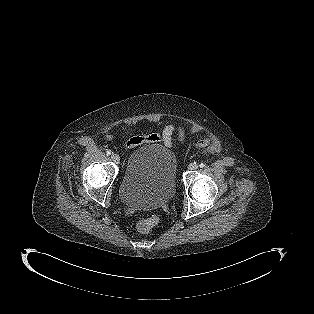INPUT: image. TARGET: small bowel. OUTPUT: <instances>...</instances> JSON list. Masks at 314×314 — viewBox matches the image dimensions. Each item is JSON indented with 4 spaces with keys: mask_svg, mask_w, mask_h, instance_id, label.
<instances>
[{
    "mask_svg": "<svg viewBox=\"0 0 314 314\" xmlns=\"http://www.w3.org/2000/svg\"><path fill=\"white\" fill-rule=\"evenodd\" d=\"M178 130L181 141H185L187 138V132L185 128L176 126L174 124H168L162 130V132H152L143 136H133L125 143V149H133L142 143H158L162 142L166 147H171L172 137L174 132ZM210 143V139L207 137L198 143L199 148L206 147Z\"/></svg>",
    "mask_w": 314,
    "mask_h": 314,
    "instance_id": "c3829d8e",
    "label": "small bowel"
}]
</instances>
